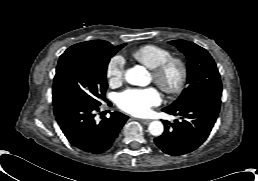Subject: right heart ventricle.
I'll use <instances>...</instances> for the list:
<instances>
[{
    "label": "right heart ventricle",
    "instance_id": "right-heart-ventricle-1",
    "mask_svg": "<svg viewBox=\"0 0 258 181\" xmlns=\"http://www.w3.org/2000/svg\"><path fill=\"white\" fill-rule=\"evenodd\" d=\"M170 55L169 50L154 44L143 45L132 54L135 60L149 69L155 68L169 58Z\"/></svg>",
    "mask_w": 258,
    "mask_h": 181
}]
</instances>
